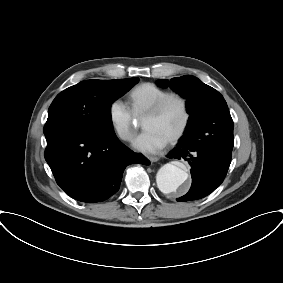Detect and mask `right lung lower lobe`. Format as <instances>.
<instances>
[{"label": "right lung lower lobe", "mask_w": 283, "mask_h": 283, "mask_svg": "<svg viewBox=\"0 0 283 283\" xmlns=\"http://www.w3.org/2000/svg\"><path fill=\"white\" fill-rule=\"evenodd\" d=\"M45 159L65 193L86 203L114 195L129 164H150L123 145L115 133L61 134L47 141Z\"/></svg>", "instance_id": "obj_1"}]
</instances>
